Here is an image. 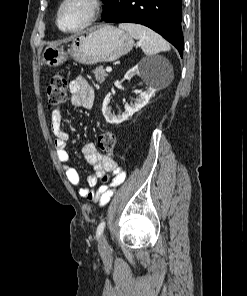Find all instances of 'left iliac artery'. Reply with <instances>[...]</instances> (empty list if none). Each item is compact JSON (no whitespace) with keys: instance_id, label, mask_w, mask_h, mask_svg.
<instances>
[{"instance_id":"left-iliac-artery-1","label":"left iliac artery","mask_w":247,"mask_h":296,"mask_svg":"<svg viewBox=\"0 0 247 296\" xmlns=\"http://www.w3.org/2000/svg\"><path fill=\"white\" fill-rule=\"evenodd\" d=\"M104 228H105V221H102V222L99 224L98 228H97V232H96V236H97V238L100 237V235L102 234Z\"/></svg>"}]
</instances>
